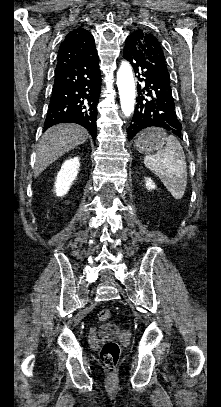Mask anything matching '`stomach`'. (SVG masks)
<instances>
[{
  "label": "stomach",
  "instance_id": "0dacf381",
  "mask_svg": "<svg viewBox=\"0 0 221 407\" xmlns=\"http://www.w3.org/2000/svg\"><path fill=\"white\" fill-rule=\"evenodd\" d=\"M166 133L161 129H145L135 140V146L141 153L160 151L165 144Z\"/></svg>",
  "mask_w": 221,
  "mask_h": 407
}]
</instances>
